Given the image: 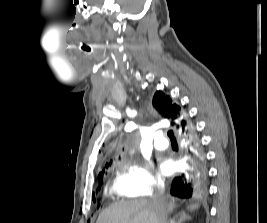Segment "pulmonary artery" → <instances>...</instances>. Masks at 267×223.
<instances>
[{
	"label": "pulmonary artery",
	"mask_w": 267,
	"mask_h": 223,
	"mask_svg": "<svg viewBox=\"0 0 267 223\" xmlns=\"http://www.w3.org/2000/svg\"><path fill=\"white\" fill-rule=\"evenodd\" d=\"M154 146L157 150H165L169 146V142L162 134L157 133L154 138Z\"/></svg>",
	"instance_id": "1"
}]
</instances>
